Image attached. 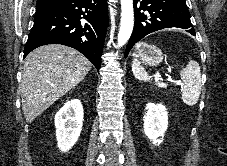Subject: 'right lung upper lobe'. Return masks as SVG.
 <instances>
[{"label":"right lung upper lobe","mask_w":227,"mask_h":166,"mask_svg":"<svg viewBox=\"0 0 227 166\" xmlns=\"http://www.w3.org/2000/svg\"><path fill=\"white\" fill-rule=\"evenodd\" d=\"M63 0H37L36 7H46L49 5H53Z\"/></svg>","instance_id":"cb5924a9"}]
</instances>
